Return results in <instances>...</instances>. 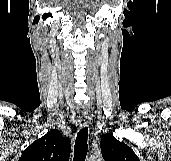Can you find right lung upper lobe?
<instances>
[{"instance_id":"right-lung-upper-lobe-1","label":"right lung upper lobe","mask_w":171,"mask_h":161,"mask_svg":"<svg viewBox=\"0 0 171 161\" xmlns=\"http://www.w3.org/2000/svg\"><path fill=\"white\" fill-rule=\"evenodd\" d=\"M70 139L54 129L27 147L19 161H69Z\"/></svg>"}]
</instances>
